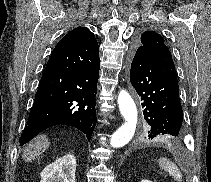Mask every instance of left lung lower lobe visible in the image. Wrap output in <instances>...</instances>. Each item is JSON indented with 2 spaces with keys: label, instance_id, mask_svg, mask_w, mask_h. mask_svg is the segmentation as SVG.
<instances>
[{
  "label": "left lung lower lobe",
  "instance_id": "1",
  "mask_svg": "<svg viewBox=\"0 0 211 182\" xmlns=\"http://www.w3.org/2000/svg\"><path fill=\"white\" fill-rule=\"evenodd\" d=\"M130 82L138 94L149 125L146 138L178 141L183 135L179 85L144 48L133 49Z\"/></svg>",
  "mask_w": 211,
  "mask_h": 182
}]
</instances>
